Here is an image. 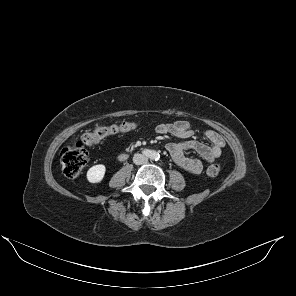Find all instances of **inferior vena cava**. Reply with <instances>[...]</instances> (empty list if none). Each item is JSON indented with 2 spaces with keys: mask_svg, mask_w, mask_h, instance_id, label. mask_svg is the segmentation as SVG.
<instances>
[{
  "mask_svg": "<svg viewBox=\"0 0 296 296\" xmlns=\"http://www.w3.org/2000/svg\"><path fill=\"white\" fill-rule=\"evenodd\" d=\"M133 162L136 165H143L148 162V158L143 154H135L133 157Z\"/></svg>",
  "mask_w": 296,
  "mask_h": 296,
  "instance_id": "602c4592",
  "label": "inferior vena cava"
}]
</instances>
